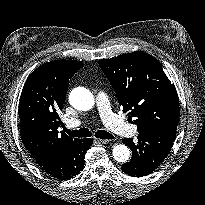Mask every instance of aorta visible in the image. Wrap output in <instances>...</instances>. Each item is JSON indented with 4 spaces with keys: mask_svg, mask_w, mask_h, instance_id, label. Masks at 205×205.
Wrapping results in <instances>:
<instances>
[{
    "mask_svg": "<svg viewBox=\"0 0 205 205\" xmlns=\"http://www.w3.org/2000/svg\"><path fill=\"white\" fill-rule=\"evenodd\" d=\"M69 103L79 111H88L94 107L93 94L84 87H76L69 94ZM113 158L119 163H125L130 158V151L124 144L115 145L112 151Z\"/></svg>",
    "mask_w": 205,
    "mask_h": 205,
    "instance_id": "aorta-1",
    "label": "aorta"
}]
</instances>
